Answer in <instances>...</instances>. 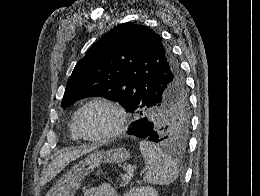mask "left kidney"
<instances>
[{
	"label": "left kidney",
	"instance_id": "left-kidney-1",
	"mask_svg": "<svg viewBox=\"0 0 260 196\" xmlns=\"http://www.w3.org/2000/svg\"><path fill=\"white\" fill-rule=\"evenodd\" d=\"M125 196H158V194L150 186H140V188H131Z\"/></svg>",
	"mask_w": 260,
	"mask_h": 196
}]
</instances>
